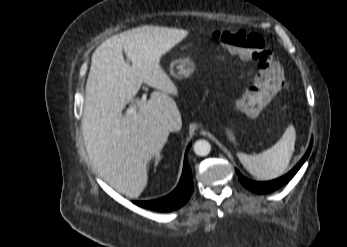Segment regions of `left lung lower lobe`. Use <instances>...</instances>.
Here are the masks:
<instances>
[{
  "label": "left lung lower lobe",
  "instance_id": "1",
  "mask_svg": "<svg viewBox=\"0 0 347 247\" xmlns=\"http://www.w3.org/2000/svg\"><path fill=\"white\" fill-rule=\"evenodd\" d=\"M312 143H313V141L311 140L309 148H308L306 154L304 155V157L285 176L280 177V178L275 179V180H272V181H268V182H255V181H252L250 179L245 178L244 176H242L240 174V172L238 170H236L241 183L247 189H249L255 193H258V194H266V193H270L272 191L279 189L280 187L285 185L288 181H290L293 178V176L297 173V171L300 169V167L303 165L304 161L307 159V157L311 151Z\"/></svg>",
  "mask_w": 347,
  "mask_h": 247
}]
</instances>
